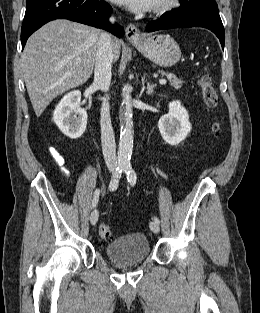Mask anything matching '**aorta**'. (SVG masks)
Segmentation results:
<instances>
[{
    "mask_svg": "<svg viewBox=\"0 0 260 313\" xmlns=\"http://www.w3.org/2000/svg\"><path fill=\"white\" fill-rule=\"evenodd\" d=\"M122 106L120 109V141L117 160L119 164H129L133 151V113L131 88L125 85L122 89Z\"/></svg>",
    "mask_w": 260,
    "mask_h": 313,
    "instance_id": "obj_1",
    "label": "aorta"
}]
</instances>
